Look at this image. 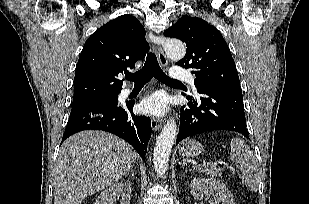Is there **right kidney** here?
Masks as SVG:
<instances>
[{
	"label": "right kidney",
	"instance_id": "right-kidney-1",
	"mask_svg": "<svg viewBox=\"0 0 309 204\" xmlns=\"http://www.w3.org/2000/svg\"><path fill=\"white\" fill-rule=\"evenodd\" d=\"M121 198L120 204H130L131 184L120 182L106 188L96 199L94 204H114L117 198Z\"/></svg>",
	"mask_w": 309,
	"mask_h": 204
}]
</instances>
